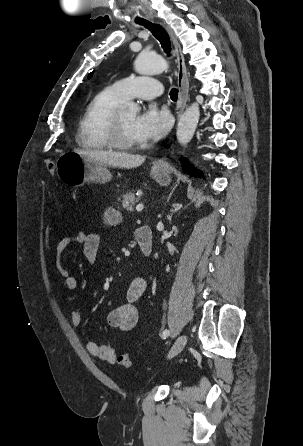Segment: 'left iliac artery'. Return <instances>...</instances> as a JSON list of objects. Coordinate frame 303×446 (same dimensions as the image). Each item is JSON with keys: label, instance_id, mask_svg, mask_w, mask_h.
<instances>
[{"label": "left iliac artery", "instance_id": "obj_1", "mask_svg": "<svg viewBox=\"0 0 303 446\" xmlns=\"http://www.w3.org/2000/svg\"><path fill=\"white\" fill-rule=\"evenodd\" d=\"M169 330H164L163 332H162V334H161V338L162 339H166L168 336H169Z\"/></svg>", "mask_w": 303, "mask_h": 446}]
</instances>
